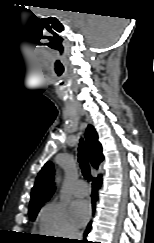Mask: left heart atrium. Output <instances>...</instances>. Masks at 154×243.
I'll list each match as a JSON object with an SVG mask.
<instances>
[{"instance_id":"left-heart-atrium-1","label":"left heart atrium","mask_w":154,"mask_h":243,"mask_svg":"<svg viewBox=\"0 0 154 243\" xmlns=\"http://www.w3.org/2000/svg\"><path fill=\"white\" fill-rule=\"evenodd\" d=\"M90 205L87 201L81 200L74 202L69 210L71 221L77 227H81L85 224L90 216Z\"/></svg>"}]
</instances>
